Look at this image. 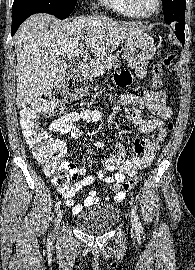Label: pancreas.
Here are the masks:
<instances>
[{
    "label": "pancreas",
    "instance_id": "obj_1",
    "mask_svg": "<svg viewBox=\"0 0 195 270\" xmlns=\"http://www.w3.org/2000/svg\"><path fill=\"white\" fill-rule=\"evenodd\" d=\"M120 66V61L115 55L110 53H104L97 56L91 61L90 69L95 76L104 73L112 68H117Z\"/></svg>",
    "mask_w": 195,
    "mask_h": 270
}]
</instances>
